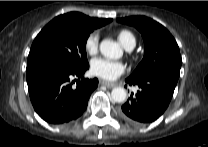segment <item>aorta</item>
I'll return each instance as SVG.
<instances>
[{
  "instance_id": "obj_1",
  "label": "aorta",
  "mask_w": 208,
  "mask_h": 147,
  "mask_svg": "<svg viewBox=\"0 0 208 147\" xmlns=\"http://www.w3.org/2000/svg\"><path fill=\"white\" fill-rule=\"evenodd\" d=\"M100 52L103 56L109 59H119L123 54L120 45L110 39H104L100 43ZM126 96V90L122 87H116L111 91V98L114 102H124L126 100Z\"/></svg>"
}]
</instances>
